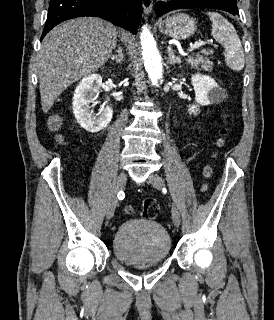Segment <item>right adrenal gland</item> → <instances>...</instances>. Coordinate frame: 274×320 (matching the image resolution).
Wrapping results in <instances>:
<instances>
[{
  "instance_id": "2a0ac1e0",
  "label": "right adrenal gland",
  "mask_w": 274,
  "mask_h": 320,
  "mask_svg": "<svg viewBox=\"0 0 274 320\" xmlns=\"http://www.w3.org/2000/svg\"><path fill=\"white\" fill-rule=\"evenodd\" d=\"M117 54L116 56H109V58H111V60H113V62H116V64H120V62H122L124 56L122 54V48H118V50H116Z\"/></svg>"
}]
</instances>
